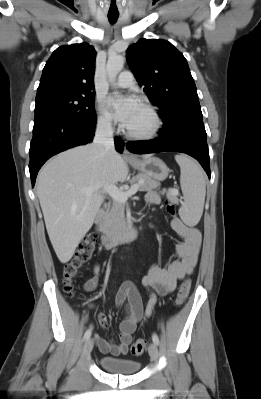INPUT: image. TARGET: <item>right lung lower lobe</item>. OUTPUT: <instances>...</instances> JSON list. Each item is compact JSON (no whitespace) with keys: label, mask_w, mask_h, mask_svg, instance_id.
<instances>
[{"label":"right lung lower lobe","mask_w":261,"mask_h":399,"mask_svg":"<svg viewBox=\"0 0 261 399\" xmlns=\"http://www.w3.org/2000/svg\"><path fill=\"white\" fill-rule=\"evenodd\" d=\"M95 124H84L62 115L46 116L34 120L30 145L29 171L32 186L41 166L53 155L92 141ZM115 148L122 153L124 142L115 138Z\"/></svg>","instance_id":"right-lung-lower-lobe-1"}]
</instances>
